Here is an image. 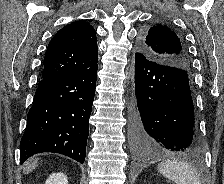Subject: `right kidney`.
Wrapping results in <instances>:
<instances>
[{
	"instance_id": "right-kidney-1",
	"label": "right kidney",
	"mask_w": 224,
	"mask_h": 184,
	"mask_svg": "<svg viewBox=\"0 0 224 184\" xmlns=\"http://www.w3.org/2000/svg\"><path fill=\"white\" fill-rule=\"evenodd\" d=\"M45 184H68V180L64 173H52Z\"/></svg>"
}]
</instances>
